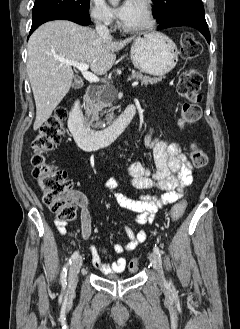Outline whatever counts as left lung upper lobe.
<instances>
[{
    "mask_svg": "<svg viewBox=\"0 0 240 329\" xmlns=\"http://www.w3.org/2000/svg\"><path fill=\"white\" fill-rule=\"evenodd\" d=\"M155 7L152 9L153 15L158 23H161L172 13L178 11H192L204 13L201 0H152Z\"/></svg>",
    "mask_w": 240,
    "mask_h": 329,
    "instance_id": "obj_1",
    "label": "left lung upper lobe"
}]
</instances>
